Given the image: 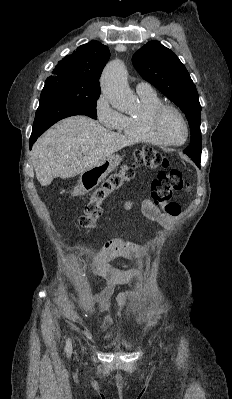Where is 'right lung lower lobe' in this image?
<instances>
[{"label":"right lung lower lobe","instance_id":"right-lung-lower-lobe-1","mask_svg":"<svg viewBox=\"0 0 232 399\" xmlns=\"http://www.w3.org/2000/svg\"><path fill=\"white\" fill-rule=\"evenodd\" d=\"M74 115L89 116L82 110L71 104L60 101L40 100L39 107L36 111L32 134L30 137V149L32 148V145L35 143L37 138L41 134H43L49 127H51L53 124L61 119Z\"/></svg>","mask_w":232,"mask_h":399}]
</instances>
